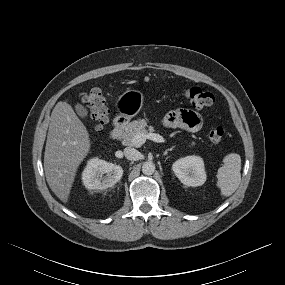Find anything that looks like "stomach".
<instances>
[{
  "label": "stomach",
  "mask_w": 285,
  "mask_h": 285,
  "mask_svg": "<svg viewBox=\"0 0 285 285\" xmlns=\"http://www.w3.org/2000/svg\"><path fill=\"white\" fill-rule=\"evenodd\" d=\"M144 97L141 91L127 89L123 92L118 101L117 109L120 117L130 120L135 117L143 106Z\"/></svg>",
  "instance_id": "1"
}]
</instances>
